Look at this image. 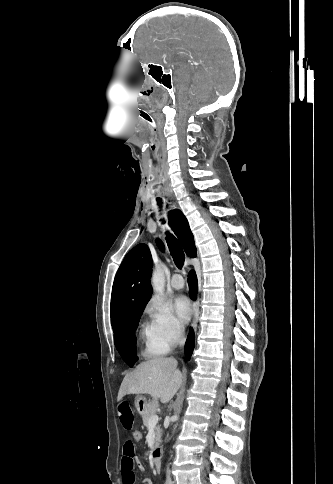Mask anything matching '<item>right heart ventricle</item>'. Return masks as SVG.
<instances>
[{
    "label": "right heart ventricle",
    "instance_id": "e07e8e85",
    "mask_svg": "<svg viewBox=\"0 0 333 484\" xmlns=\"http://www.w3.org/2000/svg\"><path fill=\"white\" fill-rule=\"evenodd\" d=\"M140 336L144 343V354L146 356H158L164 353L156 345L151 325L149 326L147 324H142L140 329Z\"/></svg>",
    "mask_w": 333,
    "mask_h": 484
}]
</instances>
